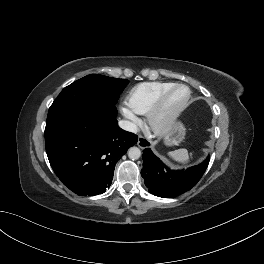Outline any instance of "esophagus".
<instances>
[{
    "label": "esophagus",
    "instance_id": "esophagus-1",
    "mask_svg": "<svg viewBox=\"0 0 264 264\" xmlns=\"http://www.w3.org/2000/svg\"><path fill=\"white\" fill-rule=\"evenodd\" d=\"M137 145L141 148H147L150 146V142L143 136H139L137 140Z\"/></svg>",
    "mask_w": 264,
    "mask_h": 264
}]
</instances>
